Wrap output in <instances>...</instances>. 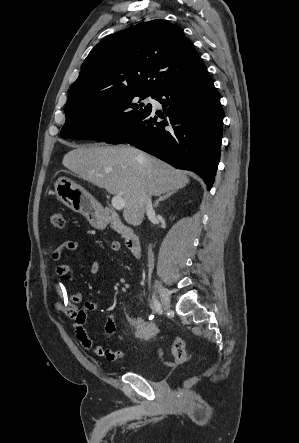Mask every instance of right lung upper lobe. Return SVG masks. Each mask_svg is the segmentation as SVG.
Returning <instances> with one entry per match:
<instances>
[{
	"mask_svg": "<svg viewBox=\"0 0 299 443\" xmlns=\"http://www.w3.org/2000/svg\"><path fill=\"white\" fill-rule=\"evenodd\" d=\"M205 68L183 31L166 20L107 36L85 59L66 105L120 92L154 94Z\"/></svg>",
	"mask_w": 299,
	"mask_h": 443,
	"instance_id": "obj_1",
	"label": "right lung upper lobe"
}]
</instances>
